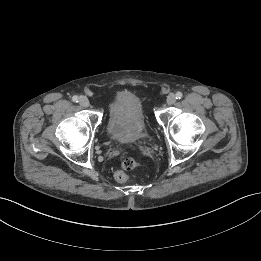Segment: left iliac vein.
Returning a JSON list of instances; mask_svg holds the SVG:
<instances>
[{
    "label": "left iliac vein",
    "mask_w": 261,
    "mask_h": 261,
    "mask_svg": "<svg viewBox=\"0 0 261 261\" xmlns=\"http://www.w3.org/2000/svg\"><path fill=\"white\" fill-rule=\"evenodd\" d=\"M176 102V96L174 94H169L167 96V104L173 105Z\"/></svg>",
    "instance_id": "1"
}]
</instances>
